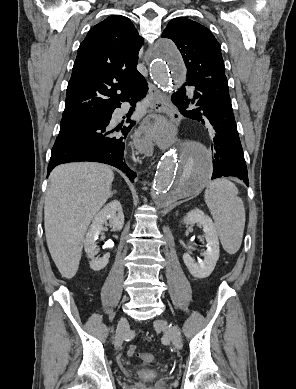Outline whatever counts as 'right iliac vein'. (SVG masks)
I'll return each instance as SVG.
<instances>
[{"label": "right iliac vein", "mask_w": 296, "mask_h": 389, "mask_svg": "<svg viewBox=\"0 0 296 389\" xmlns=\"http://www.w3.org/2000/svg\"><path fill=\"white\" fill-rule=\"evenodd\" d=\"M127 327H128V322L125 317H122L118 323L117 331H116V338H115L116 348L121 347Z\"/></svg>", "instance_id": "right-iliac-vein-1"}]
</instances>
